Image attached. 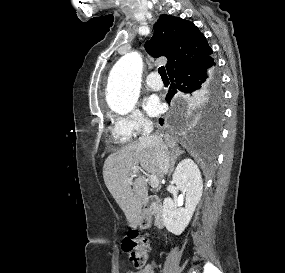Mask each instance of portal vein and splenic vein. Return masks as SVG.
<instances>
[{
    "mask_svg": "<svg viewBox=\"0 0 285 273\" xmlns=\"http://www.w3.org/2000/svg\"><path fill=\"white\" fill-rule=\"evenodd\" d=\"M138 173H140L139 169L138 168H134L132 170V172H131V176L128 179V182H131L133 180V178L135 176H137ZM143 174H145L148 177L152 187H154V188L158 187V185H159V178L156 175H154V174H147L145 172H143Z\"/></svg>",
    "mask_w": 285,
    "mask_h": 273,
    "instance_id": "portal-vein-and-splenic-vein-1",
    "label": "portal vein and splenic vein"
}]
</instances>
